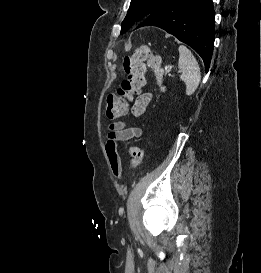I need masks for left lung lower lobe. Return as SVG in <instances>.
<instances>
[{
    "mask_svg": "<svg viewBox=\"0 0 261 273\" xmlns=\"http://www.w3.org/2000/svg\"><path fill=\"white\" fill-rule=\"evenodd\" d=\"M212 0H171L138 25L156 26L192 47L209 69L215 39Z\"/></svg>",
    "mask_w": 261,
    "mask_h": 273,
    "instance_id": "left-lung-lower-lobe-1",
    "label": "left lung lower lobe"
}]
</instances>
